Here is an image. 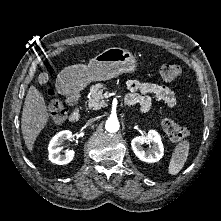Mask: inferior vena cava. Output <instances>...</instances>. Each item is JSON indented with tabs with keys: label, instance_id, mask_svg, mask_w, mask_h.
Returning a JSON list of instances; mask_svg holds the SVG:
<instances>
[{
	"label": "inferior vena cava",
	"instance_id": "inferior-vena-cava-1",
	"mask_svg": "<svg viewBox=\"0 0 221 221\" xmlns=\"http://www.w3.org/2000/svg\"><path fill=\"white\" fill-rule=\"evenodd\" d=\"M95 120V118H92L90 120H88V123H92Z\"/></svg>",
	"mask_w": 221,
	"mask_h": 221
}]
</instances>
